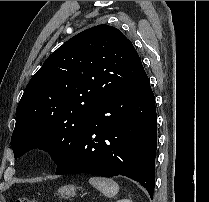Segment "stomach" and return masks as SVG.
Masks as SVG:
<instances>
[{"label": "stomach", "mask_w": 209, "mask_h": 202, "mask_svg": "<svg viewBox=\"0 0 209 202\" xmlns=\"http://www.w3.org/2000/svg\"><path fill=\"white\" fill-rule=\"evenodd\" d=\"M76 190L74 185H64L58 189V193L62 198L68 199L75 196Z\"/></svg>", "instance_id": "stomach-1"}]
</instances>
